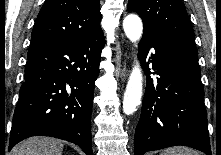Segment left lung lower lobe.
<instances>
[{
    "instance_id": "0a47b994",
    "label": "left lung lower lobe",
    "mask_w": 221,
    "mask_h": 155,
    "mask_svg": "<svg viewBox=\"0 0 221 155\" xmlns=\"http://www.w3.org/2000/svg\"><path fill=\"white\" fill-rule=\"evenodd\" d=\"M149 48L153 81L147 67L142 111L135 131L134 155L185 145L211 155L204 90L195 50L143 35L140 58L145 64Z\"/></svg>"
}]
</instances>
